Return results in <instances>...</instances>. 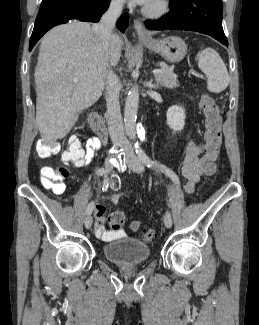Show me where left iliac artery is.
I'll return each mask as SVG.
<instances>
[{
  "instance_id": "44dca946",
  "label": "left iliac artery",
  "mask_w": 259,
  "mask_h": 325,
  "mask_svg": "<svg viewBox=\"0 0 259 325\" xmlns=\"http://www.w3.org/2000/svg\"><path fill=\"white\" fill-rule=\"evenodd\" d=\"M135 151L141 161H147V165H151V169H159L168 177H170L174 182H179L177 175L170 168L151 160L145 151L138 145V143L135 144Z\"/></svg>"
}]
</instances>
